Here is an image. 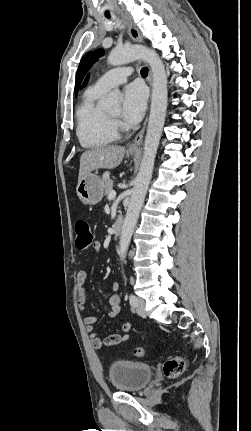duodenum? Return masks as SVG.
I'll return each mask as SVG.
<instances>
[{
    "label": "duodenum",
    "instance_id": "1",
    "mask_svg": "<svg viewBox=\"0 0 251 431\" xmlns=\"http://www.w3.org/2000/svg\"><path fill=\"white\" fill-rule=\"evenodd\" d=\"M123 218L122 217H118L113 225V230H114V235L118 236L123 229Z\"/></svg>",
    "mask_w": 251,
    "mask_h": 431
}]
</instances>
